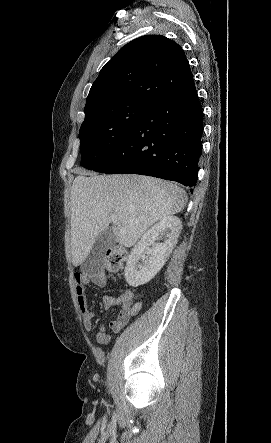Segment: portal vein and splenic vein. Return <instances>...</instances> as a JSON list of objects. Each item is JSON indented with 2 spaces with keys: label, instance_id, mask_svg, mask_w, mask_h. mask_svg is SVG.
<instances>
[{
  "label": "portal vein and splenic vein",
  "instance_id": "portal-vein-and-splenic-vein-1",
  "mask_svg": "<svg viewBox=\"0 0 271 443\" xmlns=\"http://www.w3.org/2000/svg\"><path fill=\"white\" fill-rule=\"evenodd\" d=\"M111 220H112V222H117L116 216H111Z\"/></svg>",
  "mask_w": 271,
  "mask_h": 443
}]
</instances>
